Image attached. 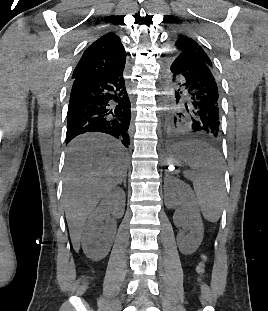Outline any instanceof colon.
<instances>
[{"label": "colon", "instance_id": "colon-1", "mask_svg": "<svg viewBox=\"0 0 268 311\" xmlns=\"http://www.w3.org/2000/svg\"><path fill=\"white\" fill-rule=\"evenodd\" d=\"M205 257H202L201 262L199 263V265L197 266V272L199 274V276H202L205 272Z\"/></svg>", "mask_w": 268, "mask_h": 311}]
</instances>
